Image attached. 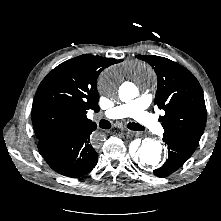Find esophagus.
Wrapping results in <instances>:
<instances>
[{
    "mask_svg": "<svg viewBox=\"0 0 221 221\" xmlns=\"http://www.w3.org/2000/svg\"><path fill=\"white\" fill-rule=\"evenodd\" d=\"M122 131H124L127 136H133L135 134L134 132H132L130 130L122 129Z\"/></svg>",
    "mask_w": 221,
    "mask_h": 221,
    "instance_id": "esophagus-1",
    "label": "esophagus"
}]
</instances>
